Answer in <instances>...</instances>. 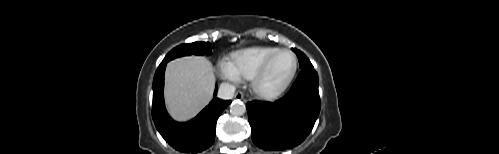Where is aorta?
I'll return each mask as SVG.
<instances>
[{
  "label": "aorta",
  "mask_w": 499,
  "mask_h": 154,
  "mask_svg": "<svg viewBox=\"0 0 499 154\" xmlns=\"http://www.w3.org/2000/svg\"><path fill=\"white\" fill-rule=\"evenodd\" d=\"M246 112L245 104L240 100H235L230 105V113L235 116L243 115Z\"/></svg>",
  "instance_id": "762f6f07"
}]
</instances>
